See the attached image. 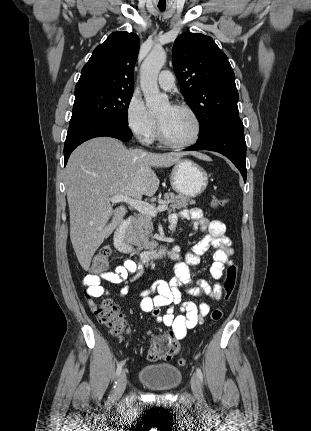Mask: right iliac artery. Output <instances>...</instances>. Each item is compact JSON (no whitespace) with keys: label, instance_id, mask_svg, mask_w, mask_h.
<instances>
[{"label":"right iliac artery","instance_id":"1","mask_svg":"<svg viewBox=\"0 0 311 431\" xmlns=\"http://www.w3.org/2000/svg\"><path fill=\"white\" fill-rule=\"evenodd\" d=\"M123 361H121L118 366H117V370H116V377H118L122 371V367H123Z\"/></svg>","mask_w":311,"mask_h":431}]
</instances>
